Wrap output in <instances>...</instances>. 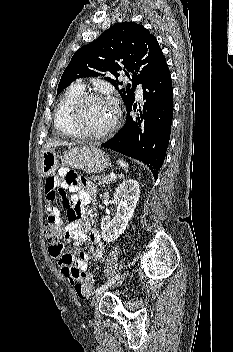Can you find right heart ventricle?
<instances>
[{
	"instance_id": "e07e8e85",
	"label": "right heart ventricle",
	"mask_w": 233,
	"mask_h": 352,
	"mask_svg": "<svg viewBox=\"0 0 233 352\" xmlns=\"http://www.w3.org/2000/svg\"><path fill=\"white\" fill-rule=\"evenodd\" d=\"M84 93V87L80 84L71 85L62 96L56 112H55V127L66 137H75V133L69 124V112L76 99Z\"/></svg>"
}]
</instances>
